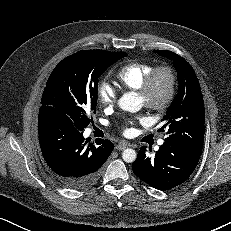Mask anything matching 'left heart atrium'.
I'll list each match as a JSON object with an SVG mask.
<instances>
[{
	"label": "left heart atrium",
	"mask_w": 231,
	"mask_h": 231,
	"mask_svg": "<svg viewBox=\"0 0 231 231\" xmlns=\"http://www.w3.org/2000/svg\"><path fill=\"white\" fill-rule=\"evenodd\" d=\"M137 121L140 124H147L148 119L145 116H140L137 118ZM133 124H134V121H130L129 123H127L126 125L123 126V132L125 135L133 134V127H132Z\"/></svg>",
	"instance_id": "1"
}]
</instances>
